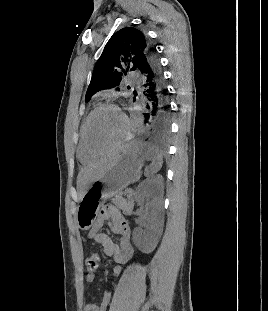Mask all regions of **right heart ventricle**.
<instances>
[{
    "mask_svg": "<svg viewBox=\"0 0 268 311\" xmlns=\"http://www.w3.org/2000/svg\"><path fill=\"white\" fill-rule=\"evenodd\" d=\"M82 130H83V124L80 129V140L78 144V150H77V155L79 160L84 163V164H89L95 161L96 156L90 154L87 149L85 148L84 142H83V135H82Z\"/></svg>",
    "mask_w": 268,
    "mask_h": 311,
    "instance_id": "obj_1",
    "label": "right heart ventricle"
}]
</instances>
